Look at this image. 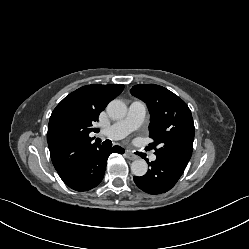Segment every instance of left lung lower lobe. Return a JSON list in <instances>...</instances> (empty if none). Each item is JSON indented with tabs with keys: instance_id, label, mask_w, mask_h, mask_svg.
Masks as SVG:
<instances>
[{
	"instance_id": "left-lung-lower-lobe-1",
	"label": "left lung lower lobe",
	"mask_w": 249,
	"mask_h": 249,
	"mask_svg": "<svg viewBox=\"0 0 249 249\" xmlns=\"http://www.w3.org/2000/svg\"><path fill=\"white\" fill-rule=\"evenodd\" d=\"M148 162V161H147ZM150 169L142 177H134L136 185L144 192L160 194L170 190L183 174L186 166L157 157L149 163Z\"/></svg>"
}]
</instances>
